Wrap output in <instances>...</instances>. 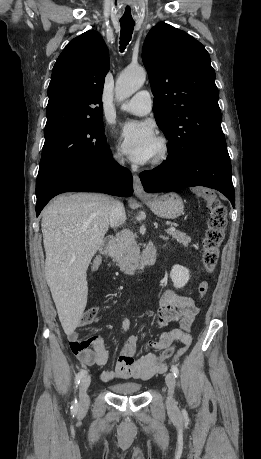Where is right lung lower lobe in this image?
<instances>
[{"label": "right lung lower lobe", "mask_w": 261, "mask_h": 459, "mask_svg": "<svg viewBox=\"0 0 261 459\" xmlns=\"http://www.w3.org/2000/svg\"><path fill=\"white\" fill-rule=\"evenodd\" d=\"M69 191L127 197L133 193V178L112 156L107 163H83L65 168L36 185V215L54 196Z\"/></svg>", "instance_id": "1"}]
</instances>
